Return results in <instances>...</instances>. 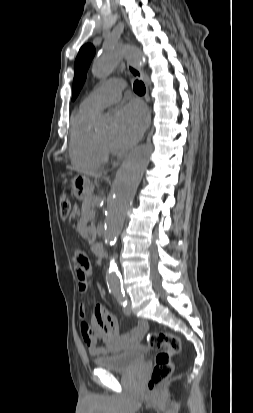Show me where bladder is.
Segmentation results:
<instances>
[{
  "label": "bladder",
  "instance_id": "obj_1",
  "mask_svg": "<svg viewBox=\"0 0 253 413\" xmlns=\"http://www.w3.org/2000/svg\"><path fill=\"white\" fill-rule=\"evenodd\" d=\"M144 360L145 351L142 348H136L129 351L97 357L95 358L94 363L98 367L125 372L140 366Z\"/></svg>",
  "mask_w": 253,
  "mask_h": 413
}]
</instances>
